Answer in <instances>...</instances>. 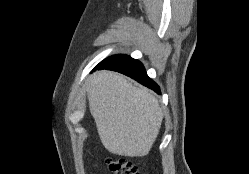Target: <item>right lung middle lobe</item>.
I'll return each instance as SVG.
<instances>
[{"label":"right lung middle lobe","instance_id":"dd1d6c3e","mask_svg":"<svg viewBox=\"0 0 249 174\" xmlns=\"http://www.w3.org/2000/svg\"><path fill=\"white\" fill-rule=\"evenodd\" d=\"M125 55H115V56H112V57H109L107 58L106 60H104L103 62H114V61H118L120 59H122Z\"/></svg>","mask_w":249,"mask_h":174}]
</instances>
